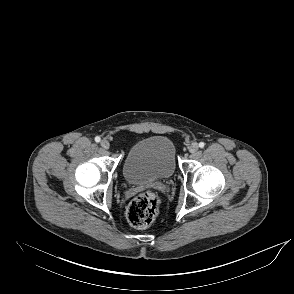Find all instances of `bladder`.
<instances>
[{"mask_svg": "<svg viewBox=\"0 0 294 294\" xmlns=\"http://www.w3.org/2000/svg\"><path fill=\"white\" fill-rule=\"evenodd\" d=\"M176 147L165 136H151L136 142L123 163V176L131 185L170 178L176 169Z\"/></svg>", "mask_w": 294, "mask_h": 294, "instance_id": "1", "label": "bladder"}]
</instances>
